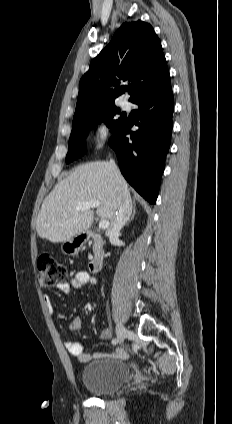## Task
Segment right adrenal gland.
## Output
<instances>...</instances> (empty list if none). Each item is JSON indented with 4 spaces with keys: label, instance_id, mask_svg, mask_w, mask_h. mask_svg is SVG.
Instances as JSON below:
<instances>
[{
    "label": "right adrenal gland",
    "instance_id": "2a0ac1e0",
    "mask_svg": "<svg viewBox=\"0 0 232 424\" xmlns=\"http://www.w3.org/2000/svg\"><path fill=\"white\" fill-rule=\"evenodd\" d=\"M135 206H136L135 201H133V212H132L130 218L128 219V221L126 222V225H128L134 219V216H135V213H136Z\"/></svg>",
    "mask_w": 232,
    "mask_h": 424
}]
</instances>
